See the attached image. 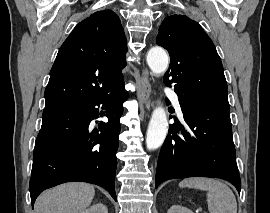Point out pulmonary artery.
<instances>
[{"mask_svg":"<svg viewBox=\"0 0 270 213\" xmlns=\"http://www.w3.org/2000/svg\"><path fill=\"white\" fill-rule=\"evenodd\" d=\"M165 91L167 95L171 98L178 115L181 117L182 111H181L178 95L169 89H165Z\"/></svg>","mask_w":270,"mask_h":213,"instance_id":"obj_1","label":"pulmonary artery"}]
</instances>
